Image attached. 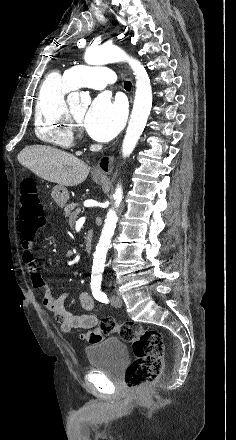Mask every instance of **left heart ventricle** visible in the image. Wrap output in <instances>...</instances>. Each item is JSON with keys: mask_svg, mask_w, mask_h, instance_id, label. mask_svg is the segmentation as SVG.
<instances>
[{"mask_svg": "<svg viewBox=\"0 0 236 440\" xmlns=\"http://www.w3.org/2000/svg\"><path fill=\"white\" fill-rule=\"evenodd\" d=\"M71 111L75 116V118L77 119V121L80 122V124H82L86 113V107L76 106L72 108Z\"/></svg>", "mask_w": 236, "mask_h": 440, "instance_id": "b2bd125f", "label": "left heart ventricle"}]
</instances>
